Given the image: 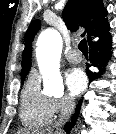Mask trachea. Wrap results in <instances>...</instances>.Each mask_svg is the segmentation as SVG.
<instances>
[{"label":"trachea","mask_w":116,"mask_h":134,"mask_svg":"<svg viewBox=\"0 0 116 134\" xmlns=\"http://www.w3.org/2000/svg\"><path fill=\"white\" fill-rule=\"evenodd\" d=\"M78 48L83 53V55H88V46L85 38L80 41Z\"/></svg>","instance_id":"obj_1"}]
</instances>
